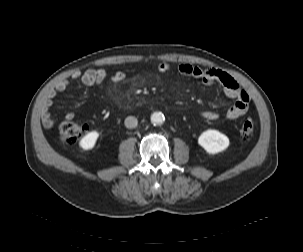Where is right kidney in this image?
<instances>
[{
	"instance_id": "obj_1",
	"label": "right kidney",
	"mask_w": 303,
	"mask_h": 252,
	"mask_svg": "<svg viewBox=\"0 0 303 252\" xmlns=\"http://www.w3.org/2000/svg\"><path fill=\"white\" fill-rule=\"evenodd\" d=\"M99 135L100 134L97 131L89 132L80 140L79 146L84 150L93 149L95 147Z\"/></svg>"
}]
</instances>
